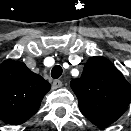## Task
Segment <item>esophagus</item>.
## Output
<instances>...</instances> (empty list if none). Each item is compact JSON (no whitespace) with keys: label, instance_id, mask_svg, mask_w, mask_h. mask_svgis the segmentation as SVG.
Listing matches in <instances>:
<instances>
[{"label":"esophagus","instance_id":"esophagus-1","mask_svg":"<svg viewBox=\"0 0 131 131\" xmlns=\"http://www.w3.org/2000/svg\"><path fill=\"white\" fill-rule=\"evenodd\" d=\"M62 82L60 80H54L53 83H52V88L53 89H57V88H60L62 87Z\"/></svg>","mask_w":131,"mask_h":131}]
</instances>
